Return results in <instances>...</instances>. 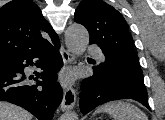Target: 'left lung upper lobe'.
<instances>
[{
  "instance_id": "obj_1",
  "label": "left lung upper lobe",
  "mask_w": 165,
  "mask_h": 120,
  "mask_svg": "<svg viewBox=\"0 0 165 120\" xmlns=\"http://www.w3.org/2000/svg\"><path fill=\"white\" fill-rule=\"evenodd\" d=\"M74 20L87 28L89 44H97L101 48L105 61L100 66L109 65L121 78L144 84L133 38L120 12L102 0H82Z\"/></svg>"
}]
</instances>
